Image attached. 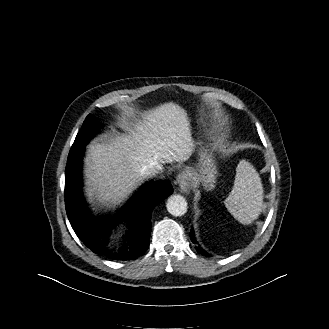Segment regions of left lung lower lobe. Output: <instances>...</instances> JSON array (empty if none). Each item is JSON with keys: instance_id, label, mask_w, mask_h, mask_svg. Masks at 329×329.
Instances as JSON below:
<instances>
[{"instance_id": "obj_1", "label": "left lung lower lobe", "mask_w": 329, "mask_h": 329, "mask_svg": "<svg viewBox=\"0 0 329 329\" xmlns=\"http://www.w3.org/2000/svg\"><path fill=\"white\" fill-rule=\"evenodd\" d=\"M191 240H192V242L193 243H196V240H195V237H194V233L193 232H191ZM197 249V251L200 253V254H202V255H204V256H209L208 255V253H206L205 251H203L200 247L199 248H196Z\"/></svg>"}]
</instances>
